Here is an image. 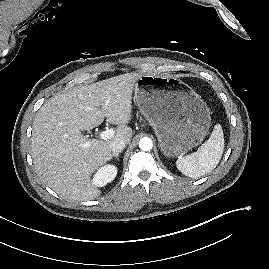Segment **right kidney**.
<instances>
[{
  "mask_svg": "<svg viewBox=\"0 0 269 269\" xmlns=\"http://www.w3.org/2000/svg\"><path fill=\"white\" fill-rule=\"evenodd\" d=\"M117 175V168L114 165H105L101 167L92 179L96 187H103L114 180Z\"/></svg>",
  "mask_w": 269,
  "mask_h": 269,
  "instance_id": "1",
  "label": "right kidney"
}]
</instances>
